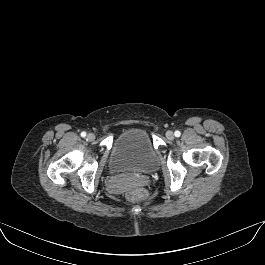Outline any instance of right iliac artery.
Instances as JSON below:
<instances>
[{"instance_id": "1", "label": "right iliac artery", "mask_w": 265, "mask_h": 265, "mask_svg": "<svg viewBox=\"0 0 265 265\" xmlns=\"http://www.w3.org/2000/svg\"><path fill=\"white\" fill-rule=\"evenodd\" d=\"M85 136H86V132H82L81 137H85Z\"/></svg>"}]
</instances>
